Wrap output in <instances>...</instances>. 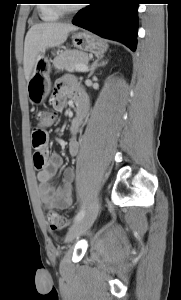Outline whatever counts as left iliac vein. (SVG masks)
<instances>
[{
	"mask_svg": "<svg viewBox=\"0 0 181 300\" xmlns=\"http://www.w3.org/2000/svg\"><path fill=\"white\" fill-rule=\"evenodd\" d=\"M98 211L99 198L96 197L91 203L86 215H84V217L80 221L76 222L73 226L70 227L66 235V241H73L75 238L79 237L86 230H88L95 221Z\"/></svg>",
	"mask_w": 181,
	"mask_h": 300,
	"instance_id": "obj_1",
	"label": "left iliac vein"
}]
</instances>
